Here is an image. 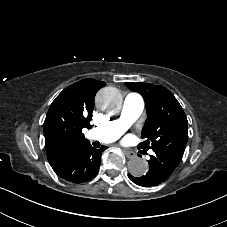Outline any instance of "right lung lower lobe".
I'll return each instance as SVG.
<instances>
[{"label": "right lung lower lobe", "mask_w": 227, "mask_h": 227, "mask_svg": "<svg viewBox=\"0 0 227 227\" xmlns=\"http://www.w3.org/2000/svg\"><path fill=\"white\" fill-rule=\"evenodd\" d=\"M101 155L102 149H95L89 143L74 150L59 168L53 170L67 181L86 182L96 176Z\"/></svg>", "instance_id": "98d812e1"}]
</instances>
